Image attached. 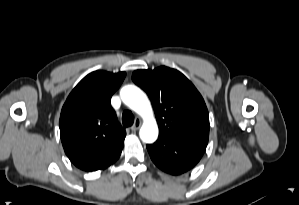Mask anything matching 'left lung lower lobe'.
<instances>
[{
	"instance_id": "0a47b994",
	"label": "left lung lower lobe",
	"mask_w": 299,
	"mask_h": 205,
	"mask_svg": "<svg viewBox=\"0 0 299 205\" xmlns=\"http://www.w3.org/2000/svg\"><path fill=\"white\" fill-rule=\"evenodd\" d=\"M207 143L173 136L158 138L154 144L147 145V149L158 168L168 174L179 175L199 162Z\"/></svg>"
}]
</instances>
